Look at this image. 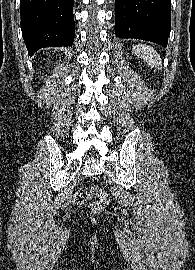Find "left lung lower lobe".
Returning a JSON list of instances; mask_svg holds the SVG:
<instances>
[{"instance_id":"left-lung-lower-lobe-1","label":"left lung lower lobe","mask_w":195,"mask_h":270,"mask_svg":"<svg viewBox=\"0 0 195 270\" xmlns=\"http://www.w3.org/2000/svg\"><path fill=\"white\" fill-rule=\"evenodd\" d=\"M170 0H115V34L167 46Z\"/></svg>"}]
</instances>
